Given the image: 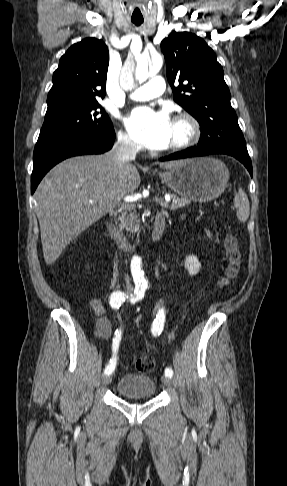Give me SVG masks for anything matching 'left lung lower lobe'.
I'll return each mask as SVG.
<instances>
[{
  "mask_svg": "<svg viewBox=\"0 0 287 486\" xmlns=\"http://www.w3.org/2000/svg\"><path fill=\"white\" fill-rule=\"evenodd\" d=\"M227 154L230 156L235 157L238 159L240 162H242L247 170L249 171L250 175H253L252 171V163L249 157L248 152H237V151H231V150H223V149H205V148H199V147H192L188 148L186 150L174 153L170 156L161 158L162 161H167V160H175V159H184V158H190V157H197V156H205L209 154Z\"/></svg>",
  "mask_w": 287,
  "mask_h": 486,
  "instance_id": "1",
  "label": "left lung lower lobe"
}]
</instances>
